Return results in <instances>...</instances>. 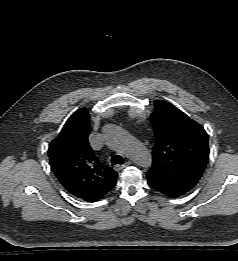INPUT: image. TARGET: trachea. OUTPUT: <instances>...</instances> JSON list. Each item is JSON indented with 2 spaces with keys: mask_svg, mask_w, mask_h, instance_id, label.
Here are the masks:
<instances>
[{
  "mask_svg": "<svg viewBox=\"0 0 238 261\" xmlns=\"http://www.w3.org/2000/svg\"><path fill=\"white\" fill-rule=\"evenodd\" d=\"M111 163H112V165L123 164L124 163V159L120 155H114L111 158Z\"/></svg>",
  "mask_w": 238,
  "mask_h": 261,
  "instance_id": "3493384b",
  "label": "trachea"
}]
</instances>
